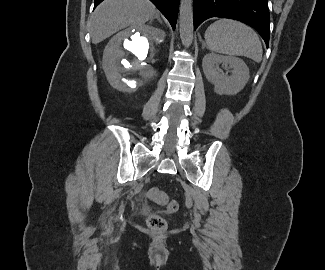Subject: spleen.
Instances as JSON below:
<instances>
[{"mask_svg": "<svg viewBox=\"0 0 325 270\" xmlns=\"http://www.w3.org/2000/svg\"><path fill=\"white\" fill-rule=\"evenodd\" d=\"M209 50L230 56H245L259 63L262 60V44L251 27L231 19H220L205 32Z\"/></svg>", "mask_w": 325, "mask_h": 270, "instance_id": "3e777b00", "label": "spleen"}]
</instances>
